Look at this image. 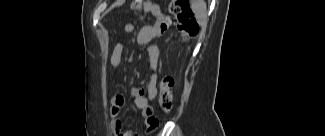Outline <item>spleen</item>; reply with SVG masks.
I'll list each match as a JSON object with an SVG mask.
<instances>
[{
  "label": "spleen",
  "instance_id": "obj_1",
  "mask_svg": "<svg viewBox=\"0 0 325 136\" xmlns=\"http://www.w3.org/2000/svg\"><path fill=\"white\" fill-rule=\"evenodd\" d=\"M201 8L200 10L196 11L197 18L205 19L206 18V5L204 1L200 2Z\"/></svg>",
  "mask_w": 325,
  "mask_h": 136
}]
</instances>
